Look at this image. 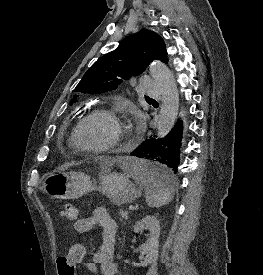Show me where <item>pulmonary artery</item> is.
<instances>
[{"instance_id":"obj_1","label":"pulmonary artery","mask_w":263,"mask_h":275,"mask_svg":"<svg viewBox=\"0 0 263 275\" xmlns=\"http://www.w3.org/2000/svg\"><path fill=\"white\" fill-rule=\"evenodd\" d=\"M143 92L148 96H159L160 88L158 83L151 79H144L141 83Z\"/></svg>"}]
</instances>
